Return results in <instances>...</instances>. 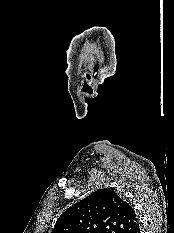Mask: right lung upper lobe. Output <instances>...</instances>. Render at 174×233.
Wrapping results in <instances>:
<instances>
[{
    "mask_svg": "<svg viewBox=\"0 0 174 233\" xmlns=\"http://www.w3.org/2000/svg\"><path fill=\"white\" fill-rule=\"evenodd\" d=\"M136 214L109 188L100 189L67 209L51 233H138Z\"/></svg>",
    "mask_w": 174,
    "mask_h": 233,
    "instance_id": "1",
    "label": "right lung upper lobe"
}]
</instances>
